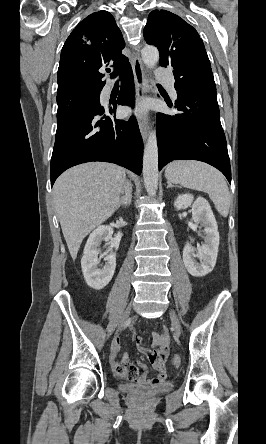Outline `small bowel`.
<instances>
[{
	"label": "small bowel",
	"mask_w": 266,
	"mask_h": 444,
	"mask_svg": "<svg viewBox=\"0 0 266 444\" xmlns=\"http://www.w3.org/2000/svg\"><path fill=\"white\" fill-rule=\"evenodd\" d=\"M153 342L156 345L155 350L148 349L141 344L140 338H136L135 344L137 349L151 362L157 375L154 378H149L144 366L140 363L135 366L130 362L129 355L123 354L119 362L113 364L114 373L122 379H127L136 382L140 385L155 386L166 381V359L169 353V334L166 329L160 333L152 335ZM119 340L113 343V353L116 354L119 350Z\"/></svg>",
	"instance_id": "c3829d8e"
}]
</instances>
